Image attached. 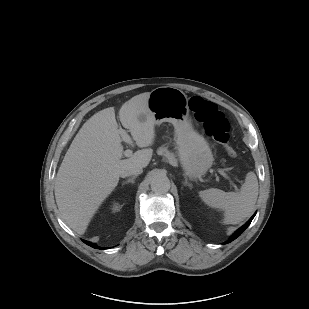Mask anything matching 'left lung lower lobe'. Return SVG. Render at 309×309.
<instances>
[{
	"label": "left lung lower lobe",
	"instance_id": "left-lung-lower-lobe-1",
	"mask_svg": "<svg viewBox=\"0 0 309 309\" xmlns=\"http://www.w3.org/2000/svg\"><path fill=\"white\" fill-rule=\"evenodd\" d=\"M255 214H256V213H255ZM255 214L250 218V220H248V221L246 222V224H244L241 228H239V229L231 236V238H230L227 242H225L224 244H227V243H229V242L235 240V239H236V238H237V237L250 225V223H251V221L253 220Z\"/></svg>",
	"mask_w": 309,
	"mask_h": 309
}]
</instances>
